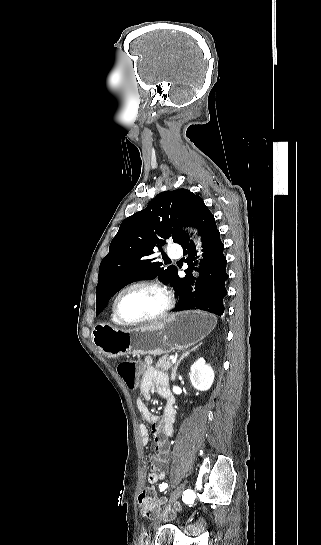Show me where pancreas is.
Masks as SVG:
<instances>
[{
  "label": "pancreas",
  "instance_id": "obj_1",
  "mask_svg": "<svg viewBox=\"0 0 321 545\" xmlns=\"http://www.w3.org/2000/svg\"><path fill=\"white\" fill-rule=\"evenodd\" d=\"M155 367L156 369H160V371H165L166 373V371H169V369H171L172 363L170 359H167V357H161V359L157 361Z\"/></svg>",
  "mask_w": 321,
  "mask_h": 545
}]
</instances>
